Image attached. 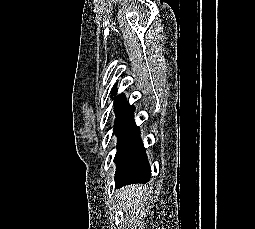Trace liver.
Segmentation results:
<instances>
[{
  "mask_svg": "<svg viewBox=\"0 0 255 229\" xmlns=\"http://www.w3.org/2000/svg\"><path fill=\"white\" fill-rule=\"evenodd\" d=\"M146 191V187L142 185H130L121 188L117 194L120 207L123 208L124 211L132 210L133 207H137L144 199Z\"/></svg>",
  "mask_w": 255,
  "mask_h": 229,
  "instance_id": "liver-1",
  "label": "liver"
}]
</instances>
